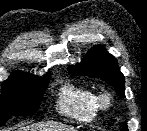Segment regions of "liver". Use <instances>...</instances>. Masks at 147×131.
<instances>
[{"label":"liver","instance_id":"obj_1","mask_svg":"<svg viewBox=\"0 0 147 131\" xmlns=\"http://www.w3.org/2000/svg\"><path fill=\"white\" fill-rule=\"evenodd\" d=\"M18 131H76L74 127L57 122H40L21 127Z\"/></svg>","mask_w":147,"mask_h":131}]
</instances>
